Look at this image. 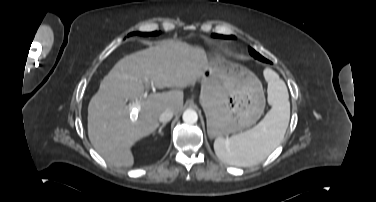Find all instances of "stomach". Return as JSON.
<instances>
[{
	"label": "stomach",
	"mask_w": 376,
	"mask_h": 202,
	"mask_svg": "<svg viewBox=\"0 0 376 202\" xmlns=\"http://www.w3.org/2000/svg\"><path fill=\"white\" fill-rule=\"evenodd\" d=\"M200 103L209 136L218 138L254 124L263 113L265 96L253 72L215 56L202 69Z\"/></svg>",
	"instance_id": "obj_1"
}]
</instances>
